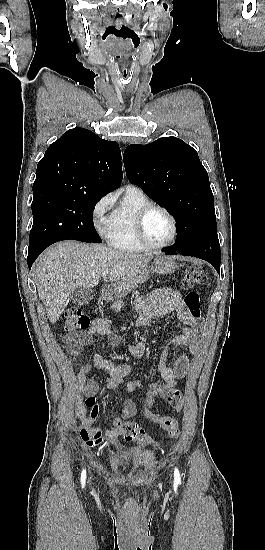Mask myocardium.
Masks as SVG:
<instances>
[{
    "instance_id": "myocardium-1",
    "label": "myocardium",
    "mask_w": 265,
    "mask_h": 550,
    "mask_svg": "<svg viewBox=\"0 0 265 550\" xmlns=\"http://www.w3.org/2000/svg\"><path fill=\"white\" fill-rule=\"evenodd\" d=\"M153 210L162 211L163 213H165L169 217V219L171 221V226H172L171 237L169 238V240L167 242H165L163 244H153L148 240V238L146 236L145 221H146V218L149 215V213L152 212ZM134 227H135V234H136V237H137L139 243L144 248L150 249V250H159V249L169 247L170 245H172L174 243V241L177 238V234H178V226H177V221H176L175 216L166 207H164L162 205H159V204H154V203H150V204L144 206L138 212V214L136 216V219H135Z\"/></svg>"
}]
</instances>
